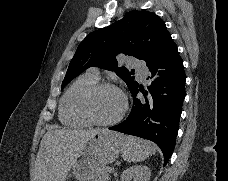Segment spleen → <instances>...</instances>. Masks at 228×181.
Wrapping results in <instances>:
<instances>
[{"mask_svg": "<svg viewBox=\"0 0 228 181\" xmlns=\"http://www.w3.org/2000/svg\"><path fill=\"white\" fill-rule=\"evenodd\" d=\"M121 153L124 161L141 163L147 157L155 155L157 147L150 143V141H143V139H138V137H126Z\"/></svg>", "mask_w": 228, "mask_h": 181, "instance_id": "1", "label": "spleen"}]
</instances>
